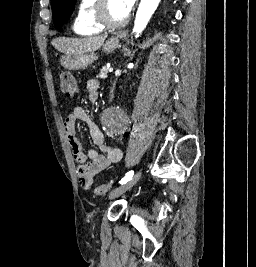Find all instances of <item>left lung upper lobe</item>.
Listing matches in <instances>:
<instances>
[{
	"instance_id": "1",
	"label": "left lung upper lobe",
	"mask_w": 256,
	"mask_h": 267,
	"mask_svg": "<svg viewBox=\"0 0 256 267\" xmlns=\"http://www.w3.org/2000/svg\"><path fill=\"white\" fill-rule=\"evenodd\" d=\"M77 0H51L53 22L57 29L70 17Z\"/></svg>"
}]
</instances>
